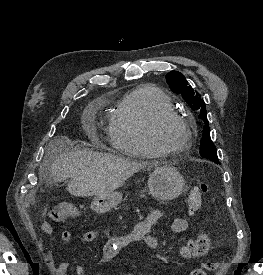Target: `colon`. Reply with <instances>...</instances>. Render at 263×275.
<instances>
[{"instance_id":"obj_1","label":"colon","mask_w":263,"mask_h":275,"mask_svg":"<svg viewBox=\"0 0 263 275\" xmlns=\"http://www.w3.org/2000/svg\"><path fill=\"white\" fill-rule=\"evenodd\" d=\"M209 187L204 182H198L192 187L187 199L188 212L194 214L201 206L202 196L207 193ZM77 210L70 205L54 208L49 218L54 222H63L68 217L77 216ZM212 246L211 237L208 234H200L183 246L181 254L184 258H196L206 255ZM217 261H207L195 268L190 275H207L219 267Z\"/></svg>"}]
</instances>
